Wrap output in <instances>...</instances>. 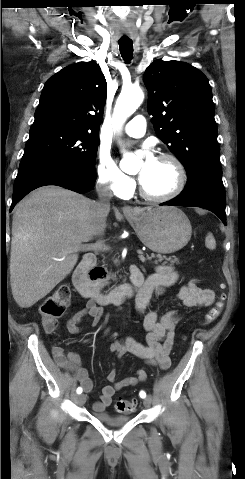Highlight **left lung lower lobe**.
Here are the masks:
<instances>
[{"label":"left lung lower lobe","instance_id":"obj_1","mask_svg":"<svg viewBox=\"0 0 245 479\" xmlns=\"http://www.w3.org/2000/svg\"><path fill=\"white\" fill-rule=\"evenodd\" d=\"M161 205L204 208L215 213L226 225V197L219 162L195 169L188 175L187 185L181 194Z\"/></svg>","mask_w":245,"mask_h":479}]
</instances>
